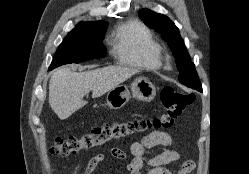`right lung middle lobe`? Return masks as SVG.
Returning <instances> with one entry per match:
<instances>
[{
	"mask_svg": "<svg viewBox=\"0 0 249 174\" xmlns=\"http://www.w3.org/2000/svg\"><path fill=\"white\" fill-rule=\"evenodd\" d=\"M106 30L107 23H95L68 33L58 47L49 70L64 64L105 57L103 38Z\"/></svg>",
	"mask_w": 249,
	"mask_h": 174,
	"instance_id": "right-lung-middle-lobe-1",
	"label": "right lung middle lobe"
}]
</instances>
